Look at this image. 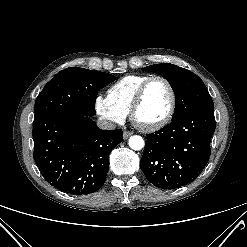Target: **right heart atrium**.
Here are the masks:
<instances>
[{"label": "right heart atrium", "instance_id": "obj_1", "mask_svg": "<svg viewBox=\"0 0 247 247\" xmlns=\"http://www.w3.org/2000/svg\"><path fill=\"white\" fill-rule=\"evenodd\" d=\"M97 114L109 123L121 124L126 118V113L115 106L108 96L97 95L94 101Z\"/></svg>", "mask_w": 247, "mask_h": 247}]
</instances>
